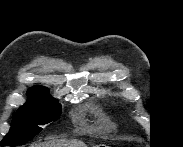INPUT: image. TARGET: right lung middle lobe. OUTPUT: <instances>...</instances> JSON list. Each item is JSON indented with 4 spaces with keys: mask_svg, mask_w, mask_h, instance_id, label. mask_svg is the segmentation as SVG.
Instances as JSON below:
<instances>
[{
    "mask_svg": "<svg viewBox=\"0 0 183 147\" xmlns=\"http://www.w3.org/2000/svg\"><path fill=\"white\" fill-rule=\"evenodd\" d=\"M27 102L18 109L13 117L9 133L4 137L2 146H15L30 141L42 128L58 118L61 105L50 98L48 91L29 90Z\"/></svg>",
    "mask_w": 183,
    "mask_h": 147,
    "instance_id": "1",
    "label": "right lung middle lobe"
}]
</instances>
